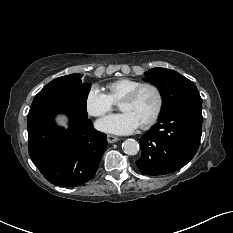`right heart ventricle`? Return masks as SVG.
Here are the masks:
<instances>
[{"mask_svg": "<svg viewBox=\"0 0 233 233\" xmlns=\"http://www.w3.org/2000/svg\"><path fill=\"white\" fill-rule=\"evenodd\" d=\"M140 84L141 82L137 80L121 78L107 85V95L114 103L120 102L126 94Z\"/></svg>", "mask_w": 233, "mask_h": 233, "instance_id": "obj_1", "label": "right heart ventricle"}]
</instances>
